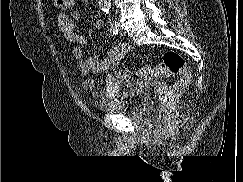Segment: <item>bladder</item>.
<instances>
[{"label":"bladder","instance_id":"1","mask_svg":"<svg viewBox=\"0 0 243 182\" xmlns=\"http://www.w3.org/2000/svg\"><path fill=\"white\" fill-rule=\"evenodd\" d=\"M146 105V98L140 93L124 98L103 99L93 102L96 111L104 114L138 115Z\"/></svg>","mask_w":243,"mask_h":182}]
</instances>
